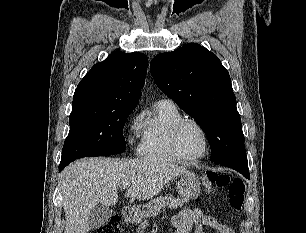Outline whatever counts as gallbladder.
<instances>
[{"instance_id": "obj_1", "label": "gallbladder", "mask_w": 306, "mask_h": 233, "mask_svg": "<svg viewBox=\"0 0 306 233\" xmlns=\"http://www.w3.org/2000/svg\"><path fill=\"white\" fill-rule=\"evenodd\" d=\"M111 217V210L104 205L95 206L89 216V224L92 227H100L104 225Z\"/></svg>"}]
</instances>
